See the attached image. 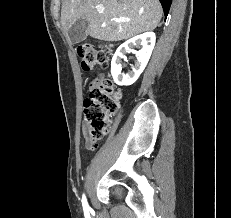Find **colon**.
Returning a JSON list of instances; mask_svg holds the SVG:
<instances>
[{"mask_svg": "<svg viewBox=\"0 0 231 218\" xmlns=\"http://www.w3.org/2000/svg\"><path fill=\"white\" fill-rule=\"evenodd\" d=\"M77 55L84 71L108 65L109 50L104 47L83 43L77 47ZM119 98L120 92L112 81L104 78L91 88L89 97L85 99L83 108L85 131L89 140L95 145L107 134L111 116L118 109Z\"/></svg>", "mask_w": 231, "mask_h": 218, "instance_id": "obj_1", "label": "colon"}]
</instances>
